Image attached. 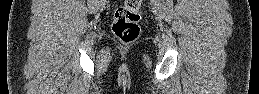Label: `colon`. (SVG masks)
<instances>
[{
  "label": "colon",
  "mask_w": 259,
  "mask_h": 94,
  "mask_svg": "<svg viewBox=\"0 0 259 94\" xmlns=\"http://www.w3.org/2000/svg\"><path fill=\"white\" fill-rule=\"evenodd\" d=\"M140 10L141 0H126L115 10L112 30L120 41L129 43L138 37Z\"/></svg>",
  "instance_id": "5ec220e1"
}]
</instances>
